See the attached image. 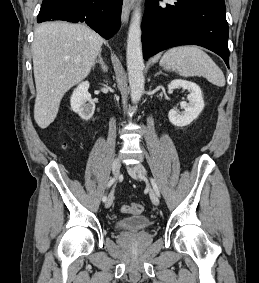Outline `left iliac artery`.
Segmentation results:
<instances>
[{
    "label": "left iliac artery",
    "mask_w": 259,
    "mask_h": 283,
    "mask_svg": "<svg viewBox=\"0 0 259 283\" xmlns=\"http://www.w3.org/2000/svg\"><path fill=\"white\" fill-rule=\"evenodd\" d=\"M151 183H152L153 189L156 192V194L158 196H160V192H159L158 186H157L156 182L154 181V179H152V178H151Z\"/></svg>",
    "instance_id": "44dca946"
}]
</instances>
